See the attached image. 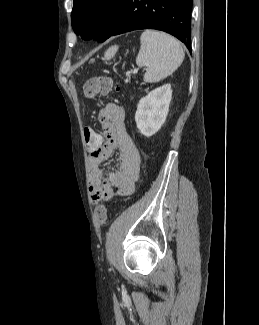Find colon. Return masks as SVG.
I'll return each instance as SVG.
<instances>
[{"instance_id": "colon-1", "label": "colon", "mask_w": 259, "mask_h": 325, "mask_svg": "<svg viewBox=\"0 0 259 325\" xmlns=\"http://www.w3.org/2000/svg\"><path fill=\"white\" fill-rule=\"evenodd\" d=\"M118 90L117 84L108 76H96L88 79L84 84V94L87 98L94 99L99 96H108ZM87 149H100L99 131L92 128L84 130ZM95 219L99 225H103L107 219V209L100 204L95 210Z\"/></svg>"}]
</instances>
